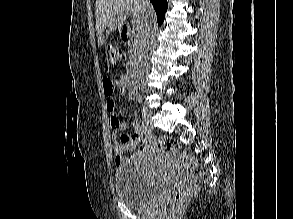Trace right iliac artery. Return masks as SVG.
I'll return each mask as SVG.
<instances>
[{
    "label": "right iliac artery",
    "mask_w": 293,
    "mask_h": 219,
    "mask_svg": "<svg viewBox=\"0 0 293 219\" xmlns=\"http://www.w3.org/2000/svg\"><path fill=\"white\" fill-rule=\"evenodd\" d=\"M141 126H142V129H143L144 131H148V130H149V128H148V124H147L144 120L142 121Z\"/></svg>",
    "instance_id": "obj_1"
}]
</instances>
